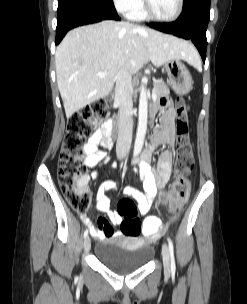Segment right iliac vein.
Wrapping results in <instances>:
<instances>
[{
	"label": "right iliac vein",
	"mask_w": 247,
	"mask_h": 304,
	"mask_svg": "<svg viewBox=\"0 0 247 304\" xmlns=\"http://www.w3.org/2000/svg\"><path fill=\"white\" fill-rule=\"evenodd\" d=\"M84 249L86 252H89L91 249V241L90 238L87 236L84 240Z\"/></svg>",
	"instance_id": "1"
}]
</instances>
